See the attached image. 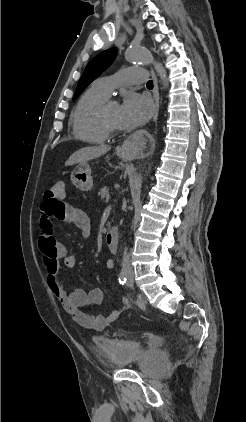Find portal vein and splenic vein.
Listing matches in <instances>:
<instances>
[{"label":"portal vein and splenic vein","instance_id":"portal-vein-and-splenic-vein-1","mask_svg":"<svg viewBox=\"0 0 246 422\" xmlns=\"http://www.w3.org/2000/svg\"><path fill=\"white\" fill-rule=\"evenodd\" d=\"M109 198H110V197H109V195H107V197H106V201H107V202L109 201Z\"/></svg>","mask_w":246,"mask_h":422}]
</instances>
